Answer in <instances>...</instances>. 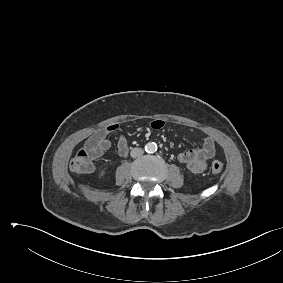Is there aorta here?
Segmentation results:
<instances>
[{
    "label": "aorta",
    "instance_id": "aorta-1",
    "mask_svg": "<svg viewBox=\"0 0 283 283\" xmlns=\"http://www.w3.org/2000/svg\"><path fill=\"white\" fill-rule=\"evenodd\" d=\"M145 149L148 153H154L157 150V144L154 142H149L146 144Z\"/></svg>",
    "mask_w": 283,
    "mask_h": 283
}]
</instances>
